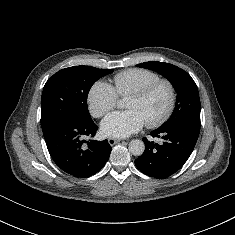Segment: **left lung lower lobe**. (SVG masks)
Segmentation results:
<instances>
[{
    "instance_id": "1",
    "label": "left lung lower lobe",
    "mask_w": 235,
    "mask_h": 235,
    "mask_svg": "<svg viewBox=\"0 0 235 235\" xmlns=\"http://www.w3.org/2000/svg\"><path fill=\"white\" fill-rule=\"evenodd\" d=\"M200 132V124L184 122L151 132L161 137L163 143L148 141L145 137L144 153L135 160L136 167L144 174L166 178L179 170L190 157Z\"/></svg>"
}]
</instances>
